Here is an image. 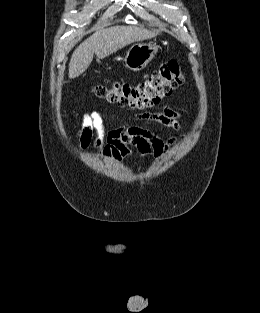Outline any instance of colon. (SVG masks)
I'll return each instance as SVG.
<instances>
[{
	"label": "colon",
	"mask_w": 260,
	"mask_h": 313,
	"mask_svg": "<svg viewBox=\"0 0 260 313\" xmlns=\"http://www.w3.org/2000/svg\"><path fill=\"white\" fill-rule=\"evenodd\" d=\"M184 81L181 63L178 60H169L140 83L104 81L94 85L92 92L122 107L146 109L158 104Z\"/></svg>",
	"instance_id": "colon-1"
}]
</instances>
